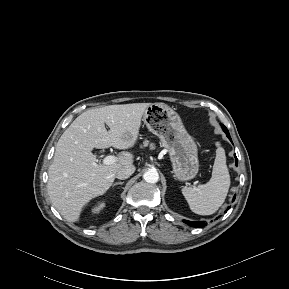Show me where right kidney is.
I'll return each instance as SVG.
<instances>
[{
	"instance_id": "1",
	"label": "right kidney",
	"mask_w": 289,
	"mask_h": 289,
	"mask_svg": "<svg viewBox=\"0 0 289 289\" xmlns=\"http://www.w3.org/2000/svg\"><path fill=\"white\" fill-rule=\"evenodd\" d=\"M105 207V203H100L99 205H97L96 207L93 208V212H99L101 209H103Z\"/></svg>"
}]
</instances>
